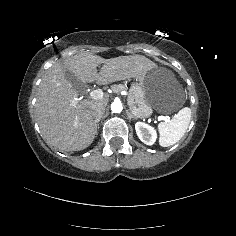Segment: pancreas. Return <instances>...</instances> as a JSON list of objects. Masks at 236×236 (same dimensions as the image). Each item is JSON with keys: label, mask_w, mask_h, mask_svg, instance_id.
<instances>
[{"label": "pancreas", "mask_w": 236, "mask_h": 236, "mask_svg": "<svg viewBox=\"0 0 236 236\" xmlns=\"http://www.w3.org/2000/svg\"><path fill=\"white\" fill-rule=\"evenodd\" d=\"M110 87H111V89L114 92H116L118 94H121L122 91L126 90V88H125V86L123 84H117V85L116 84H112Z\"/></svg>", "instance_id": "cf45deb5"}]
</instances>
